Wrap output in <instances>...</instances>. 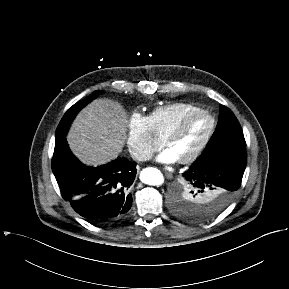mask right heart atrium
<instances>
[{"instance_id": "obj_1", "label": "right heart atrium", "mask_w": 289, "mask_h": 289, "mask_svg": "<svg viewBox=\"0 0 289 289\" xmlns=\"http://www.w3.org/2000/svg\"><path fill=\"white\" fill-rule=\"evenodd\" d=\"M126 144L130 155L137 161L148 160L161 145L148 116L133 112L127 122Z\"/></svg>"}]
</instances>
